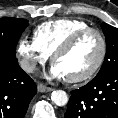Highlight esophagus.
Wrapping results in <instances>:
<instances>
[{
	"label": "esophagus",
	"mask_w": 118,
	"mask_h": 118,
	"mask_svg": "<svg viewBox=\"0 0 118 118\" xmlns=\"http://www.w3.org/2000/svg\"><path fill=\"white\" fill-rule=\"evenodd\" d=\"M37 88H38V91L42 93L51 92L53 90V88L48 87L44 85L43 83H38Z\"/></svg>",
	"instance_id": "esophagus-1"
}]
</instances>
